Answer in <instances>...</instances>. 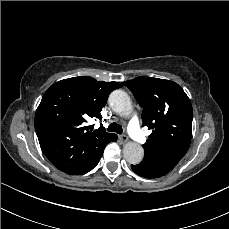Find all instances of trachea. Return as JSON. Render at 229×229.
<instances>
[{
  "instance_id": "3493384b",
  "label": "trachea",
  "mask_w": 229,
  "mask_h": 229,
  "mask_svg": "<svg viewBox=\"0 0 229 229\" xmlns=\"http://www.w3.org/2000/svg\"><path fill=\"white\" fill-rule=\"evenodd\" d=\"M107 131L109 132H116L117 134H122L123 133V129H122V126L117 124V123H111L108 128H107Z\"/></svg>"
}]
</instances>
